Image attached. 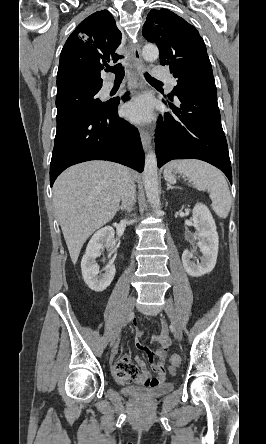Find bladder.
I'll return each instance as SVG.
<instances>
[{
    "instance_id": "bladder-1",
    "label": "bladder",
    "mask_w": 266,
    "mask_h": 444,
    "mask_svg": "<svg viewBox=\"0 0 266 444\" xmlns=\"http://www.w3.org/2000/svg\"><path fill=\"white\" fill-rule=\"evenodd\" d=\"M172 383H164L152 387L127 386L123 389L125 395L138 400H153L173 391Z\"/></svg>"
}]
</instances>
